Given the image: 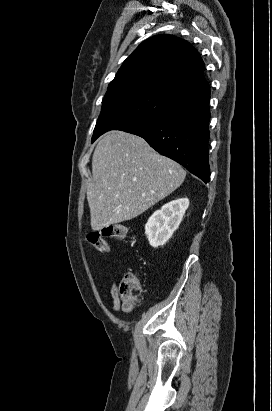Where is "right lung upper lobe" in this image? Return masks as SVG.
<instances>
[{
  "mask_svg": "<svg viewBox=\"0 0 272 411\" xmlns=\"http://www.w3.org/2000/svg\"><path fill=\"white\" fill-rule=\"evenodd\" d=\"M205 64L187 41L157 35L142 42L124 61L107 93L147 90L179 106L210 95Z\"/></svg>",
  "mask_w": 272,
  "mask_h": 411,
  "instance_id": "obj_1",
  "label": "right lung upper lobe"
}]
</instances>
